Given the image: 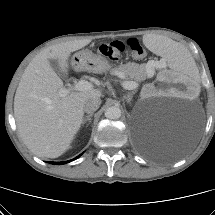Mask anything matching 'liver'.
<instances>
[{
    "mask_svg": "<svg viewBox=\"0 0 215 215\" xmlns=\"http://www.w3.org/2000/svg\"><path fill=\"white\" fill-rule=\"evenodd\" d=\"M90 38L51 45L37 54L26 67L14 97V116L19 136L38 157L57 158L71 145L83 121L85 101L100 98L97 89L74 91L61 97L63 81L49 60H58L63 72L69 57L87 46Z\"/></svg>",
    "mask_w": 215,
    "mask_h": 215,
    "instance_id": "1",
    "label": "liver"
}]
</instances>
